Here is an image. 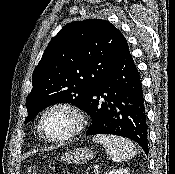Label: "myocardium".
I'll return each mask as SVG.
<instances>
[{
    "label": "myocardium",
    "instance_id": "obj_1",
    "mask_svg": "<svg viewBox=\"0 0 175 174\" xmlns=\"http://www.w3.org/2000/svg\"><path fill=\"white\" fill-rule=\"evenodd\" d=\"M58 109H62V110H66V111L70 112L75 117L76 122H75L74 128L68 134H66L62 137L52 138V137H49L45 134V132L43 130V122H44L45 117L50 112H52L54 110H58ZM85 125H86V115L81 107H79L78 105H76L72 102H58V103H55V104L51 105L50 107H48L42 113V115L39 119V122H38V131H39L40 136L48 142L63 143V142H66V141L73 139L78 134H80L82 132V130L84 129Z\"/></svg>",
    "mask_w": 175,
    "mask_h": 174
}]
</instances>
